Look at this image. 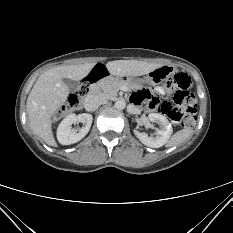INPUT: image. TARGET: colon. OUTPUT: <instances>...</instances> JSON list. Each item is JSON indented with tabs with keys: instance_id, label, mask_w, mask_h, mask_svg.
I'll return each mask as SVG.
<instances>
[{
	"instance_id": "1",
	"label": "colon",
	"mask_w": 233,
	"mask_h": 233,
	"mask_svg": "<svg viewBox=\"0 0 233 233\" xmlns=\"http://www.w3.org/2000/svg\"><path fill=\"white\" fill-rule=\"evenodd\" d=\"M167 87L173 92V102L159 101L156 98L151 100V107L168 116L172 121L184 128L194 126L196 117V98L189 93L190 79L184 73L175 74L168 82ZM83 86L81 89L72 94L62 112L76 111L82 107L84 97Z\"/></svg>"
}]
</instances>
